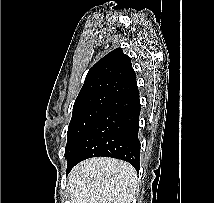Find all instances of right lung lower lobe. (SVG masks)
<instances>
[{
    "label": "right lung lower lobe",
    "mask_w": 214,
    "mask_h": 203,
    "mask_svg": "<svg viewBox=\"0 0 214 203\" xmlns=\"http://www.w3.org/2000/svg\"><path fill=\"white\" fill-rule=\"evenodd\" d=\"M140 109L138 87L114 98L92 123L67 159V174L82 160L99 156L127 161L138 172Z\"/></svg>",
    "instance_id": "right-lung-lower-lobe-1"
}]
</instances>
